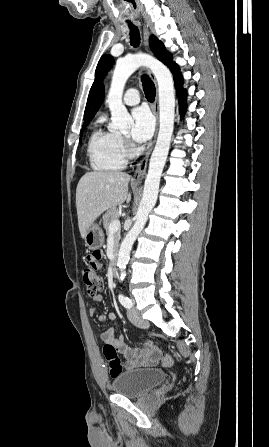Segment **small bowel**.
<instances>
[{"label": "small bowel", "mask_w": 269, "mask_h": 447, "mask_svg": "<svg viewBox=\"0 0 269 447\" xmlns=\"http://www.w3.org/2000/svg\"><path fill=\"white\" fill-rule=\"evenodd\" d=\"M94 305L99 304L102 301L101 296H94L92 298ZM97 312V308L94 306L90 309V315H95ZM116 314L113 312H105L98 316V320L100 322H105L107 320H115ZM147 339L152 337L150 332L145 334ZM101 339L105 343H110L114 345L120 353L124 356L126 362L125 366L127 369H136L140 367H149L152 366V360L155 357L160 358L161 351L158 349L156 343L153 340H149L143 344L142 347H132L125 343L124 337L122 334L117 336L114 335V329L109 328L106 331L101 333ZM145 349L146 353L142 354L141 350ZM161 360V359H160Z\"/></svg>", "instance_id": "1"}]
</instances>
